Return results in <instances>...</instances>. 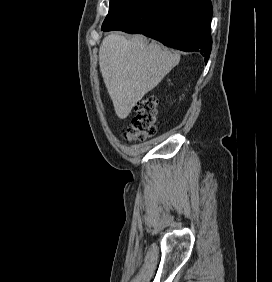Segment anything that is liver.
Instances as JSON below:
<instances>
[{
	"label": "liver",
	"mask_w": 272,
	"mask_h": 282,
	"mask_svg": "<svg viewBox=\"0 0 272 282\" xmlns=\"http://www.w3.org/2000/svg\"><path fill=\"white\" fill-rule=\"evenodd\" d=\"M180 61V55L148 42L113 33L99 49L100 72L118 118L125 119L135 104L155 88Z\"/></svg>",
	"instance_id": "6515ba94"
}]
</instances>
